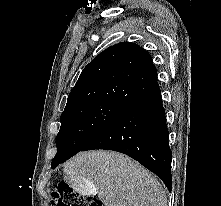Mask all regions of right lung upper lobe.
I'll use <instances>...</instances> for the list:
<instances>
[{"instance_id":"right-lung-upper-lobe-1","label":"right lung upper lobe","mask_w":221,"mask_h":206,"mask_svg":"<svg viewBox=\"0 0 221 206\" xmlns=\"http://www.w3.org/2000/svg\"><path fill=\"white\" fill-rule=\"evenodd\" d=\"M157 85L150 54L136 44L119 43L83 69L64 111L96 103L126 107Z\"/></svg>"}]
</instances>
